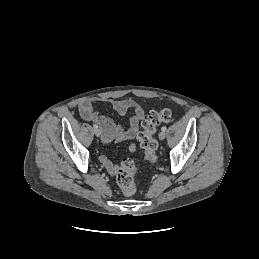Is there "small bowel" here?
Wrapping results in <instances>:
<instances>
[{
  "label": "small bowel",
  "instance_id": "c3829d8e",
  "mask_svg": "<svg viewBox=\"0 0 259 259\" xmlns=\"http://www.w3.org/2000/svg\"><path fill=\"white\" fill-rule=\"evenodd\" d=\"M95 99H86L79 105L80 116L89 122L97 123L102 130V142L124 141L133 139L139 130L140 122L144 119L143 108L136 101L131 99L117 100L113 98H100L99 101L106 102L119 114L124 115L128 111L132 112L129 127L123 129L116 125L112 119L94 110ZM129 150L134 152L136 146L130 145ZM101 162L110 174H115L117 165L105 156H101Z\"/></svg>",
  "mask_w": 259,
  "mask_h": 259
}]
</instances>
